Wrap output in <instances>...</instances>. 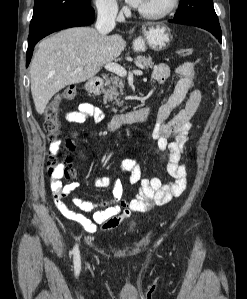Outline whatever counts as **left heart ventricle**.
Returning <instances> with one entry per match:
<instances>
[{
	"mask_svg": "<svg viewBox=\"0 0 247 299\" xmlns=\"http://www.w3.org/2000/svg\"><path fill=\"white\" fill-rule=\"evenodd\" d=\"M168 0H144L139 9L146 11H155L163 8Z\"/></svg>",
	"mask_w": 247,
	"mask_h": 299,
	"instance_id": "1",
	"label": "left heart ventricle"
}]
</instances>
